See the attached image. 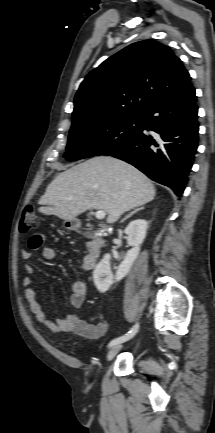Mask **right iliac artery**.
<instances>
[{
	"instance_id": "82829eb1",
	"label": "right iliac artery",
	"mask_w": 215,
	"mask_h": 433,
	"mask_svg": "<svg viewBox=\"0 0 215 433\" xmlns=\"http://www.w3.org/2000/svg\"><path fill=\"white\" fill-rule=\"evenodd\" d=\"M138 324H136L132 330H130L129 332H127L125 335L120 336L118 338L113 339L109 344L108 347H112L114 345H117L119 343L125 342L129 339H131L138 331Z\"/></svg>"
}]
</instances>
